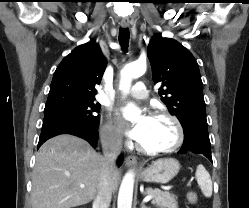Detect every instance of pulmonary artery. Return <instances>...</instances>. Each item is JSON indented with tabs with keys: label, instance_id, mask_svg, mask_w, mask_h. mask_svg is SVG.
I'll return each mask as SVG.
<instances>
[{
	"label": "pulmonary artery",
	"instance_id": "obj_1",
	"mask_svg": "<svg viewBox=\"0 0 249 208\" xmlns=\"http://www.w3.org/2000/svg\"><path fill=\"white\" fill-rule=\"evenodd\" d=\"M148 93L149 91L146 85L141 81L137 82L131 89L126 91L128 96L136 99H145L148 96Z\"/></svg>",
	"mask_w": 249,
	"mask_h": 208
}]
</instances>
